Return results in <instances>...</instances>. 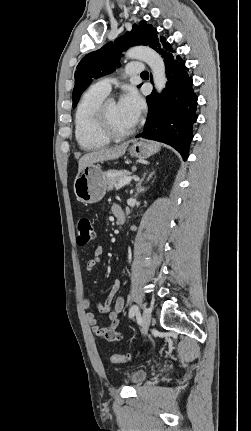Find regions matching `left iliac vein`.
I'll list each match as a JSON object with an SVG mask.
<instances>
[{
    "instance_id": "left-iliac-vein-1",
    "label": "left iliac vein",
    "mask_w": 251,
    "mask_h": 431,
    "mask_svg": "<svg viewBox=\"0 0 251 431\" xmlns=\"http://www.w3.org/2000/svg\"><path fill=\"white\" fill-rule=\"evenodd\" d=\"M151 323V312L148 308H145L142 314V333L145 335L148 332Z\"/></svg>"
}]
</instances>
